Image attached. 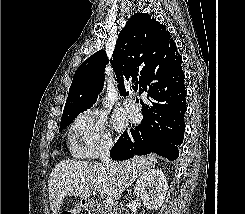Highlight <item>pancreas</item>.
Listing matches in <instances>:
<instances>
[{
  "instance_id": "obj_1",
  "label": "pancreas",
  "mask_w": 245,
  "mask_h": 214,
  "mask_svg": "<svg viewBox=\"0 0 245 214\" xmlns=\"http://www.w3.org/2000/svg\"><path fill=\"white\" fill-rule=\"evenodd\" d=\"M100 213H101V214H107V210H106V209L103 210V208H102V209H100Z\"/></svg>"
}]
</instances>
